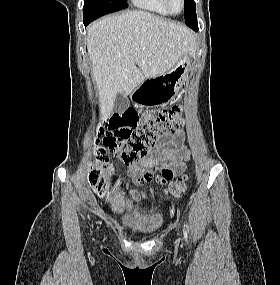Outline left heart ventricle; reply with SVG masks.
<instances>
[{
    "label": "left heart ventricle",
    "instance_id": "1",
    "mask_svg": "<svg viewBox=\"0 0 280 285\" xmlns=\"http://www.w3.org/2000/svg\"><path fill=\"white\" fill-rule=\"evenodd\" d=\"M170 5L172 10L177 12L181 9V0H170Z\"/></svg>",
    "mask_w": 280,
    "mask_h": 285
}]
</instances>
